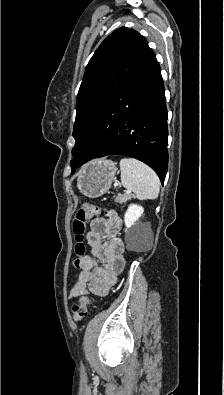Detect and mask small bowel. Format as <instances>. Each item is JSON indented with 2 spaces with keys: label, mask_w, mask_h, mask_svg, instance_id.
Instances as JSON below:
<instances>
[{
  "label": "small bowel",
  "mask_w": 224,
  "mask_h": 395,
  "mask_svg": "<svg viewBox=\"0 0 224 395\" xmlns=\"http://www.w3.org/2000/svg\"><path fill=\"white\" fill-rule=\"evenodd\" d=\"M121 224L120 217L113 211L107 218H95L91 221L87 235L90 254L80 259L81 271L71 289V298L87 290L105 296L117 282L125 267V247L121 238L109 234L118 230Z\"/></svg>",
  "instance_id": "obj_1"
}]
</instances>
